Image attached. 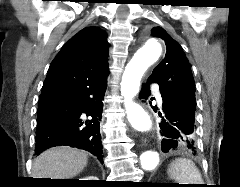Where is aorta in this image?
Masks as SVG:
<instances>
[{
    "label": "aorta",
    "instance_id": "762f6f07",
    "mask_svg": "<svg viewBox=\"0 0 240 187\" xmlns=\"http://www.w3.org/2000/svg\"><path fill=\"white\" fill-rule=\"evenodd\" d=\"M162 53V45L155 38L148 39L127 64L121 81V94L124 97L127 118L134 129L149 131L152 127L150 116L136 103L134 96L139 92L140 81L145 71L154 64ZM160 161L156 150H146L140 155L143 170H154Z\"/></svg>",
    "mask_w": 240,
    "mask_h": 187
}]
</instances>
